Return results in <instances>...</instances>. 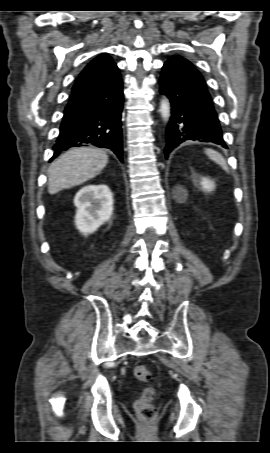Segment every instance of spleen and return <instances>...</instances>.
<instances>
[{"label":"spleen","mask_w":270,"mask_h":453,"mask_svg":"<svg viewBox=\"0 0 270 453\" xmlns=\"http://www.w3.org/2000/svg\"><path fill=\"white\" fill-rule=\"evenodd\" d=\"M205 154L209 157L210 160L214 161L216 164L220 165L226 172L229 171L228 165L222 154L213 150L211 148L205 149Z\"/></svg>","instance_id":"3e777b00"}]
</instances>
